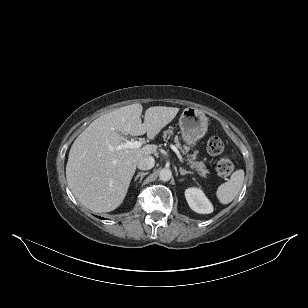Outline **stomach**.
Wrapping results in <instances>:
<instances>
[{"instance_id": "0dacf381", "label": "stomach", "mask_w": 308, "mask_h": 308, "mask_svg": "<svg viewBox=\"0 0 308 308\" xmlns=\"http://www.w3.org/2000/svg\"><path fill=\"white\" fill-rule=\"evenodd\" d=\"M179 126L186 144L195 146L207 132L208 118L202 111L188 107L179 118Z\"/></svg>"}]
</instances>
